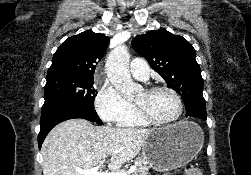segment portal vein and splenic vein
<instances>
[{
  "label": "portal vein and splenic vein",
  "mask_w": 251,
  "mask_h": 175,
  "mask_svg": "<svg viewBox=\"0 0 251 175\" xmlns=\"http://www.w3.org/2000/svg\"><path fill=\"white\" fill-rule=\"evenodd\" d=\"M105 159H101L97 167H92V169H75L78 173H83V175H130L134 173L136 165H131L127 171H99L101 165H103Z\"/></svg>",
  "instance_id": "18ae733b"
}]
</instances>
